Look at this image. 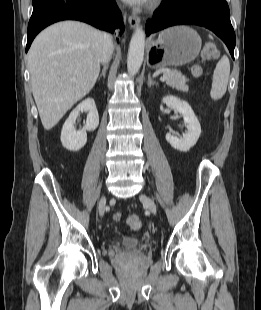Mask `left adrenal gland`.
Returning <instances> with one entry per match:
<instances>
[{"label":"left adrenal gland","mask_w":261,"mask_h":310,"mask_svg":"<svg viewBox=\"0 0 261 310\" xmlns=\"http://www.w3.org/2000/svg\"><path fill=\"white\" fill-rule=\"evenodd\" d=\"M147 84H148V87H151L153 85H158V83H156L155 81L152 80L151 74H148V82H147Z\"/></svg>","instance_id":"left-adrenal-gland-1"}]
</instances>
